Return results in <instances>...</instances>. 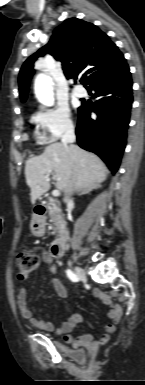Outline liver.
Segmentation results:
<instances>
[{
    "label": "liver",
    "instance_id": "6515ba94",
    "mask_svg": "<svg viewBox=\"0 0 145 385\" xmlns=\"http://www.w3.org/2000/svg\"><path fill=\"white\" fill-rule=\"evenodd\" d=\"M107 172L105 164L95 154L59 142L50 144L43 154L31 157L25 163L32 204L50 189V180L46 177L51 173H54L56 187L68 192L70 188L79 191L99 186L106 179Z\"/></svg>",
    "mask_w": 145,
    "mask_h": 385
}]
</instances>
